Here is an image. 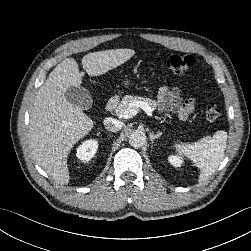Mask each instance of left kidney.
I'll use <instances>...</instances> for the list:
<instances>
[{
    "instance_id": "1",
    "label": "left kidney",
    "mask_w": 251,
    "mask_h": 251,
    "mask_svg": "<svg viewBox=\"0 0 251 251\" xmlns=\"http://www.w3.org/2000/svg\"><path fill=\"white\" fill-rule=\"evenodd\" d=\"M168 161L174 166V167H181L183 163V159L176 155H170L168 157Z\"/></svg>"
}]
</instances>
